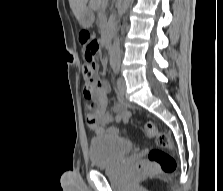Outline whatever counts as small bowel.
<instances>
[{
    "label": "small bowel",
    "instance_id": "1",
    "mask_svg": "<svg viewBox=\"0 0 223 191\" xmlns=\"http://www.w3.org/2000/svg\"><path fill=\"white\" fill-rule=\"evenodd\" d=\"M110 85L106 80L96 79L91 84L86 83L83 88L84 97L88 100L87 110L88 127L96 134H102L105 127L111 123H124L130 118V112L122 102L113 106L115 115L107 111Z\"/></svg>",
    "mask_w": 223,
    "mask_h": 191
}]
</instances>
